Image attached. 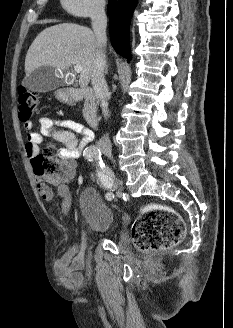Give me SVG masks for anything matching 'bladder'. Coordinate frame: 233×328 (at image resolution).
<instances>
[{
  "instance_id": "bladder-1",
  "label": "bladder",
  "mask_w": 233,
  "mask_h": 328,
  "mask_svg": "<svg viewBox=\"0 0 233 328\" xmlns=\"http://www.w3.org/2000/svg\"><path fill=\"white\" fill-rule=\"evenodd\" d=\"M78 204L89 231L103 234L112 229L115 213L94 188H84L79 194Z\"/></svg>"
}]
</instances>
